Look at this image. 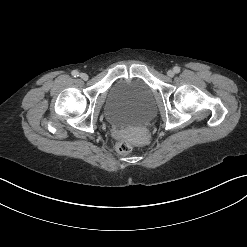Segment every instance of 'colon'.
Listing matches in <instances>:
<instances>
[{"label": "colon", "instance_id": "colon-1", "mask_svg": "<svg viewBox=\"0 0 247 247\" xmlns=\"http://www.w3.org/2000/svg\"><path fill=\"white\" fill-rule=\"evenodd\" d=\"M132 150V144L128 141H122L116 146V151L121 155H126Z\"/></svg>", "mask_w": 247, "mask_h": 247}]
</instances>
